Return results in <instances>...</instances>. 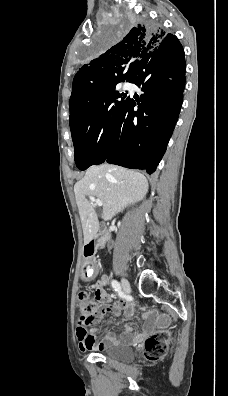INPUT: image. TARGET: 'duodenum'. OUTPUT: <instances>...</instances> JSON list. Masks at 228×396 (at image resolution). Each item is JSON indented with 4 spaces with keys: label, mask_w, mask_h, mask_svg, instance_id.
I'll list each match as a JSON object with an SVG mask.
<instances>
[{
    "label": "duodenum",
    "mask_w": 228,
    "mask_h": 396,
    "mask_svg": "<svg viewBox=\"0 0 228 396\" xmlns=\"http://www.w3.org/2000/svg\"><path fill=\"white\" fill-rule=\"evenodd\" d=\"M109 238L110 236L106 231H102L99 234L90 237L85 243L84 253H87L91 257L97 249L103 248L107 244Z\"/></svg>",
    "instance_id": "obj_1"
}]
</instances>
